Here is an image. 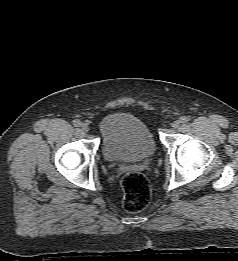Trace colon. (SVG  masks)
Wrapping results in <instances>:
<instances>
[{"label":"colon","instance_id":"obj_1","mask_svg":"<svg viewBox=\"0 0 238 261\" xmlns=\"http://www.w3.org/2000/svg\"><path fill=\"white\" fill-rule=\"evenodd\" d=\"M123 208L130 213L143 210L149 203L151 189L146 177L136 171L128 172L122 180Z\"/></svg>","mask_w":238,"mask_h":261}]
</instances>
